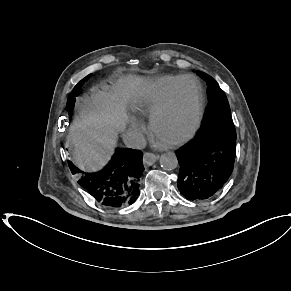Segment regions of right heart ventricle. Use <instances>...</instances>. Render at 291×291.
<instances>
[{"label":"right heart ventricle","mask_w":291,"mask_h":291,"mask_svg":"<svg viewBox=\"0 0 291 291\" xmlns=\"http://www.w3.org/2000/svg\"><path fill=\"white\" fill-rule=\"evenodd\" d=\"M180 76H163L152 80L144 89L135 106V112L142 117H150L163 101L167 91Z\"/></svg>","instance_id":"right-heart-ventricle-1"}]
</instances>
